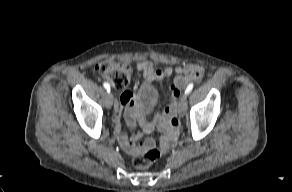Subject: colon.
I'll return each mask as SVG.
<instances>
[{"label": "colon", "instance_id": "5ec220e1", "mask_svg": "<svg viewBox=\"0 0 292 192\" xmlns=\"http://www.w3.org/2000/svg\"><path fill=\"white\" fill-rule=\"evenodd\" d=\"M94 72L105 77L118 90H124L129 85L132 74L131 67L126 63H99L94 67ZM159 156L160 151L151 147L142 155L136 156L133 165L137 169L148 168Z\"/></svg>", "mask_w": 292, "mask_h": 192}]
</instances>
